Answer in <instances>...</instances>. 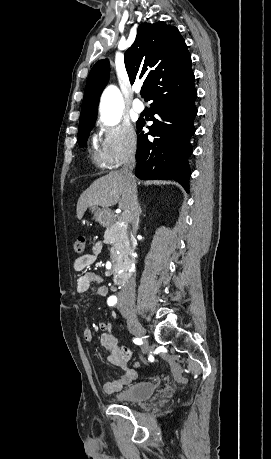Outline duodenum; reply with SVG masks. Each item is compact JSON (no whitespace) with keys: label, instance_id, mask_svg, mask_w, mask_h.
<instances>
[{"label":"duodenum","instance_id":"410a0bca","mask_svg":"<svg viewBox=\"0 0 271 459\" xmlns=\"http://www.w3.org/2000/svg\"><path fill=\"white\" fill-rule=\"evenodd\" d=\"M133 271L128 270V271H119L115 274L114 276V282L115 284L119 286H123L128 283L132 276Z\"/></svg>","mask_w":271,"mask_h":459}]
</instances>
